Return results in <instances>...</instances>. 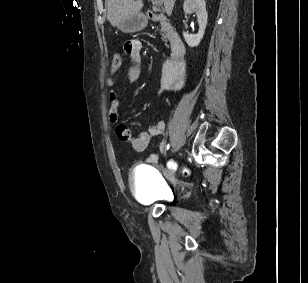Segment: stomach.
<instances>
[{
	"label": "stomach",
	"mask_w": 308,
	"mask_h": 283,
	"mask_svg": "<svg viewBox=\"0 0 308 283\" xmlns=\"http://www.w3.org/2000/svg\"><path fill=\"white\" fill-rule=\"evenodd\" d=\"M148 20L142 13L123 18L117 28L124 33H134L143 30L147 26Z\"/></svg>",
	"instance_id": "0dacf381"
}]
</instances>
